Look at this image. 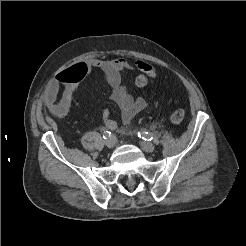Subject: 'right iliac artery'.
<instances>
[{
	"label": "right iliac artery",
	"mask_w": 246,
	"mask_h": 246,
	"mask_svg": "<svg viewBox=\"0 0 246 246\" xmlns=\"http://www.w3.org/2000/svg\"><path fill=\"white\" fill-rule=\"evenodd\" d=\"M110 135H111V132H110V131H108V130H106V131H104V132H103V138H104V139L109 138V137H110Z\"/></svg>",
	"instance_id": "82829eb1"
}]
</instances>
